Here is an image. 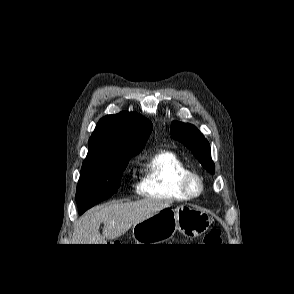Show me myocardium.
Here are the masks:
<instances>
[{
  "label": "myocardium",
  "instance_id": "f54148a6",
  "mask_svg": "<svg viewBox=\"0 0 294 294\" xmlns=\"http://www.w3.org/2000/svg\"><path fill=\"white\" fill-rule=\"evenodd\" d=\"M194 181L198 184L197 189L193 187ZM180 185L186 196L190 198L198 197L205 187L203 178L198 173L189 170L181 176Z\"/></svg>",
  "mask_w": 294,
  "mask_h": 294
}]
</instances>
